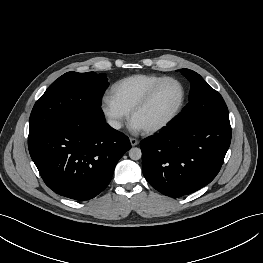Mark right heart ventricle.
Segmentation results:
<instances>
[{"instance_id": "e07e8e85", "label": "right heart ventricle", "mask_w": 263, "mask_h": 263, "mask_svg": "<svg viewBox=\"0 0 263 263\" xmlns=\"http://www.w3.org/2000/svg\"><path fill=\"white\" fill-rule=\"evenodd\" d=\"M163 77L156 74H136L122 78L112 85L110 95L120 107L130 112L145 93Z\"/></svg>"}]
</instances>
